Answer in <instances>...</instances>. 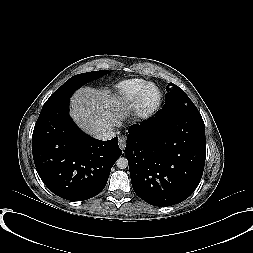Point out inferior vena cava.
<instances>
[{
	"mask_svg": "<svg viewBox=\"0 0 253 253\" xmlns=\"http://www.w3.org/2000/svg\"><path fill=\"white\" fill-rule=\"evenodd\" d=\"M115 136V132L111 129L109 130H103L95 135V137L99 140H110Z\"/></svg>",
	"mask_w": 253,
	"mask_h": 253,
	"instance_id": "602c4592",
	"label": "inferior vena cava"
}]
</instances>
